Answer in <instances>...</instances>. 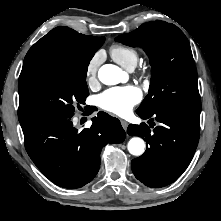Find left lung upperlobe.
Listing matches in <instances>:
<instances>
[{"mask_svg":"<svg viewBox=\"0 0 221 221\" xmlns=\"http://www.w3.org/2000/svg\"><path fill=\"white\" fill-rule=\"evenodd\" d=\"M115 40L143 48L150 58L149 93L137 111L147 112L158 105L201 111L198 77L191 48L177 26L163 21L148 22Z\"/></svg>","mask_w":221,"mask_h":221,"instance_id":"left-lung-upper-lobe-1","label":"left lung upper lobe"}]
</instances>
